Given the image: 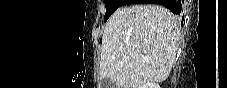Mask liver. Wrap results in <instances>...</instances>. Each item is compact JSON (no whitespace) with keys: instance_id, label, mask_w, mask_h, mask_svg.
Segmentation results:
<instances>
[{"instance_id":"1","label":"liver","mask_w":227,"mask_h":88,"mask_svg":"<svg viewBox=\"0 0 227 88\" xmlns=\"http://www.w3.org/2000/svg\"><path fill=\"white\" fill-rule=\"evenodd\" d=\"M179 41L178 18L167 8L156 4L121 7L105 25L100 78H109L117 88L165 81Z\"/></svg>"}]
</instances>
